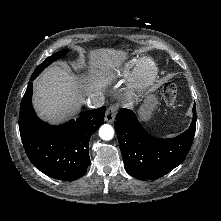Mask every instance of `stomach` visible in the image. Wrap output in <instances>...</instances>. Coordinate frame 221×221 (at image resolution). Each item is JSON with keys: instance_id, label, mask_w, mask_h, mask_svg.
<instances>
[{"instance_id": "obj_1", "label": "stomach", "mask_w": 221, "mask_h": 221, "mask_svg": "<svg viewBox=\"0 0 221 221\" xmlns=\"http://www.w3.org/2000/svg\"><path fill=\"white\" fill-rule=\"evenodd\" d=\"M157 103L158 100L155 94L148 92L145 96L144 104L140 110V115L143 120H148L151 117Z\"/></svg>"}]
</instances>
